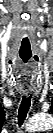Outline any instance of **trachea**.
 Segmentation results:
<instances>
[{
	"label": "trachea",
	"mask_w": 53,
	"mask_h": 133,
	"mask_svg": "<svg viewBox=\"0 0 53 133\" xmlns=\"http://www.w3.org/2000/svg\"><path fill=\"white\" fill-rule=\"evenodd\" d=\"M30 106H31V95L28 97L23 96L19 110H18V125H19V127H21L22 124L24 123Z\"/></svg>",
	"instance_id": "3493384b"
}]
</instances>
